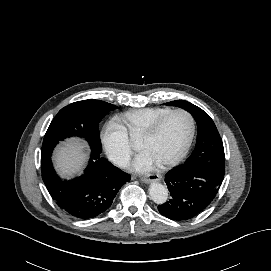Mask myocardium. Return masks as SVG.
Here are the masks:
<instances>
[{
    "mask_svg": "<svg viewBox=\"0 0 271 271\" xmlns=\"http://www.w3.org/2000/svg\"><path fill=\"white\" fill-rule=\"evenodd\" d=\"M176 113H184L186 114L191 122V130H190V135L189 138L184 145V147L181 149L179 153H177L175 156L163 161V162H158V165L161 167H166V166H173L179 163L189 152L195 138L196 134V120L193 116V114L188 111L187 109L184 108H176L172 109L170 112L166 113L159 119H157L155 122H153L150 126H148L142 133L141 137H150L153 136L158 132V130L162 127V125L165 123V121L171 117L172 115Z\"/></svg>",
    "mask_w": 271,
    "mask_h": 271,
    "instance_id": "myocardium-1",
    "label": "myocardium"
}]
</instances>
